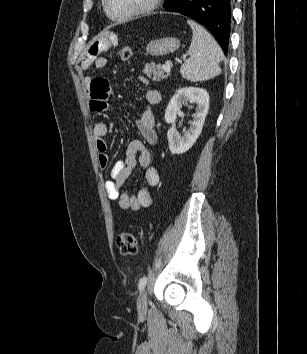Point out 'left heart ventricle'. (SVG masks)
Returning <instances> with one entry per match:
<instances>
[{"mask_svg":"<svg viewBox=\"0 0 307 354\" xmlns=\"http://www.w3.org/2000/svg\"><path fill=\"white\" fill-rule=\"evenodd\" d=\"M146 0H108L110 13L114 16H123L138 9Z\"/></svg>","mask_w":307,"mask_h":354,"instance_id":"b2bd125f","label":"left heart ventricle"}]
</instances>
